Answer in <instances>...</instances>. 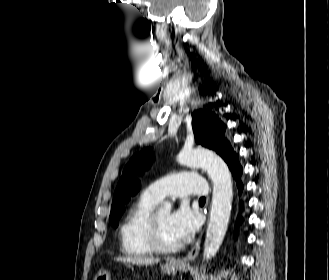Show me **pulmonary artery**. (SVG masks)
<instances>
[{
	"mask_svg": "<svg viewBox=\"0 0 329 280\" xmlns=\"http://www.w3.org/2000/svg\"><path fill=\"white\" fill-rule=\"evenodd\" d=\"M206 182L200 175L194 172L183 171L163 177L150 184L145 192L157 200L166 195L183 197L196 195L203 197L207 194Z\"/></svg>",
	"mask_w": 329,
	"mask_h": 280,
	"instance_id": "1",
	"label": "pulmonary artery"
}]
</instances>
